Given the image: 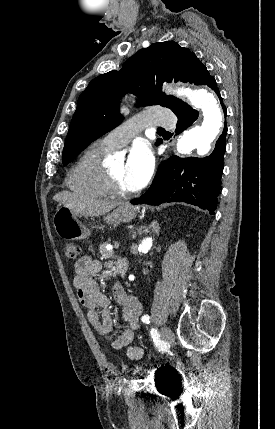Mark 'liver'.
<instances>
[{
    "mask_svg": "<svg viewBox=\"0 0 275 429\" xmlns=\"http://www.w3.org/2000/svg\"><path fill=\"white\" fill-rule=\"evenodd\" d=\"M53 199L71 209L76 214L83 216L98 217L120 205L118 202H108L103 200L85 199L69 191H61L55 194Z\"/></svg>",
    "mask_w": 275,
    "mask_h": 429,
    "instance_id": "liver-1",
    "label": "liver"
}]
</instances>
